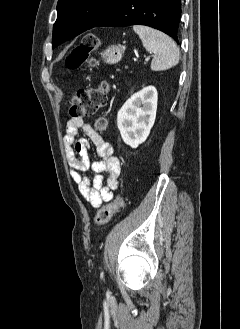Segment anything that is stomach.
I'll use <instances>...</instances> for the list:
<instances>
[{"mask_svg":"<svg viewBox=\"0 0 240 329\" xmlns=\"http://www.w3.org/2000/svg\"><path fill=\"white\" fill-rule=\"evenodd\" d=\"M124 49L119 46H111L101 53L102 58L106 63L114 64L121 60Z\"/></svg>","mask_w":240,"mask_h":329,"instance_id":"0dacf381","label":"stomach"}]
</instances>
